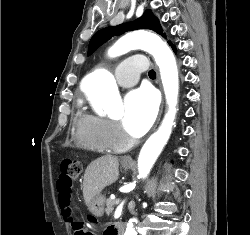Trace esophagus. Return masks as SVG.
<instances>
[{
  "label": "esophagus",
  "instance_id": "esophagus-1",
  "mask_svg": "<svg viewBox=\"0 0 250 235\" xmlns=\"http://www.w3.org/2000/svg\"><path fill=\"white\" fill-rule=\"evenodd\" d=\"M158 81H159V76H158ZM159 86L161 87L160 82H159ZM163 104H164V102L162 101L161 107H160V111H159V114H158V117H157V120H156V123H155V127H156V125H157V124L159 123V121H160V118H161V115H162V111H163ZM155 127H154V128H155ZM122 162H123V163H133L134 161H133L132 156L128 155V156H125V157L122 159Z\"/></svg>",
  "mask_w": 250,
  "mask_h": 235
}]
</instances>
